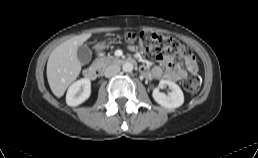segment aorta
I'll list each match as a JSON object with an SVG mask.
<instances>
[{"label":"aorta","mask_w":258,"mask_h":158,"mask_svg":"<svg viewBox=\"0 0 258 158\" xmlns=\"http://www.w3.org/2000/svg\"><path fill=\"white\" fill-rule=\"evenodd\" d=\"M122 69L124 72H131L133 70V64L130 62H126L123 64Z\"/></svg>","instance_id":"762f6f07"}]
</instances>
